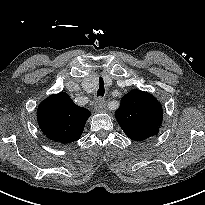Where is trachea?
Wrapping results in <instances>:
<instances>
[{"label":"trachea","mask_w":205,"mask_h":205,"mask_svg":"<svg viewBox=\"0 0 205 205\" xmlns=\"http://www.w3.org/2000/svg\"><path fill=\"white\" fill-rule=\"evenodd\" d=\"M104 93H105V87H104V81H103V78L102 77H100L99 78V84H98V89H97V96L99 97V96H103L104 95Z\"/></svg>","instance_id":"trachea-1"}]
</instances>
